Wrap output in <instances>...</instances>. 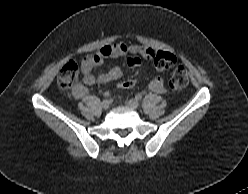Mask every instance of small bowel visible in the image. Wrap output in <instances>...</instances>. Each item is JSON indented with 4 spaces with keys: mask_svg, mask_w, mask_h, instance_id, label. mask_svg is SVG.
<instances>
[{
    "mask_svg": "<svg viewBox=\"0 0 248 194\" xmlns=\"http://www.w3.org/2000/svg\"><path fill=\"white\" fill-rule=\"evenodd\" d=\"M128 54L149 59L154 57L155 52L152 49L144 48L138 45L120 43L115 45H106L96 54L85 56L81 62L82 82L76 84L73 88V96L77 99H82L88 94L87 86L94 85L96 83L105 84L118 80L122 76V70L118 65L113 66L108 71L99 70L97 76L93 74V71L99 69L103 63V60L106 58H119ZM137 63V59H131L129 61V64L132 66H136ZM134 84L131 87H133ZM149 88L155 93L166 92L164 81L160 77L154 78L150 82Z\"/></svg>",
    "mask_w": 248,
    "mask_h": 194,
    "instance_id": "c3829d8e",
    "label": "small bowel"
}]
</instances>
